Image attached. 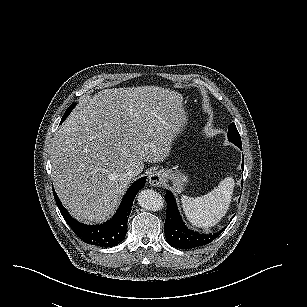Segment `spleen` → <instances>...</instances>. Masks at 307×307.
I'll list each match as a JSON object with an SVG mask.
<instances>
[{"label": "spleen", "instance_id": "obj_1", "mask_svg": "<svg viewBox=\"0 0 307 307\" xmlns=\"http://www.w3.org/2000/svg\"><path fill=\"white\" fill-rule=\"evenodd\" d=\"M235 186L231 176L220 181L218 187L201 197H181L187 220L198 228L215 226L227 213Z\"/></svg>", "mask_w": 307, "mask_h": 307}]
</instances>
